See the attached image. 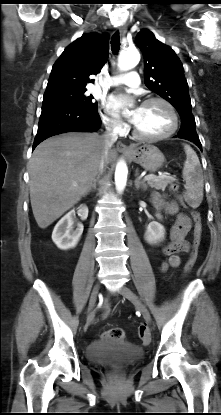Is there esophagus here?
I'll list each match as a JSON object with an SVG mask.
<instances>
[{
    "instance_id": "34e87169",
    "label": "esophagus",
    "mask_w": 221,
    "mask_h": 415,
    "mask_svg": "<svg viewBox=\"0 0 221 415\" xmlns=\"http://www.w3.org/2000/svg\"><path fill=\"white\" fill-rule=\"evenodd\" d=\"M126 32H127V27L126 26L119 27V33L122 37L125 36ZM116 147L120 151H130L131 150L128 146H126L122 142H118Z\"/></svg>"
}]
</instances>
